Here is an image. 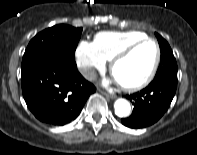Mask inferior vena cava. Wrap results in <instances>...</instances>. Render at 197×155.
I'll use <instances>...</instances> for the list:
<instances>
[{
  "label": "inferior vena cava",
  "instance_id": "602c4592",
  "mask_svg": "<svg viewBox=\"0 0 197 155\" xmlns=\"http://www.w3.org/2000/svg\"><path fill=\"white\" fill-rule=\"evenodd\" d=\"M80 73L86 78V79H94L96 76V72L93 68L90 67H82L80 68Z\"/></svg>",
  "mask_w": 197,
  "mask_h": 155
}]
</instances>
